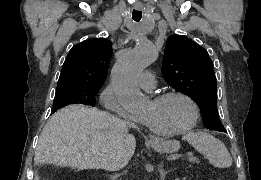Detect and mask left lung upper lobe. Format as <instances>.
I'll return each mask as SVG.
<instances>
[{
  "label": "left lung upper lobe",
  "mask_w": 261,
  "mask_h": 180,
  "mask_svg": "<svg viewBox=\"0 0 261 180\" xmlns=\"http://www.w3.org/2000/svg\"><path fill=\"white\" fill-rule=\"evenodd\" d=\"M162 74L169 85L196 102L206 128L225 132L217 112V86L213 64L203 47L186 36L169 37Z\"/></svg>",
  "instance_id": "obj_1"
}]
</instances>
